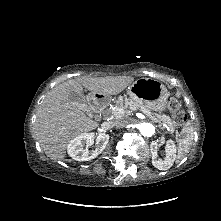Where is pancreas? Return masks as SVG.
Masks as SVG:
<instances>
[{"instance_id":"pancreas-1","label":"pancreas","mask_w":221,"mask_h":221,"mask_svg":"<svg viewBox=\"0 0 221 221\" xmlns=\"http://www.w3.org/2000/svg\"><path fill=\"white\" fill-rule=\"evenodd\" d=\"M119 108H123L126 112H128L127 109L139 110L150 117H154L153 120L155 122H158L161 126H167L170 129L169 131L171 133L174 131L173 122L169 116L165 114H155V116H152L150 109H148L145 106L139 105L138 103L131 100L130 98H127L126 96H119L118 100L116 101L115 109H109L107 110V112L110 113L114 118H117L116 112Z\"/></svg>"}]
</instances>
